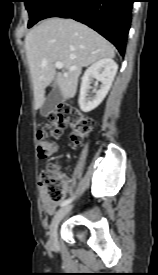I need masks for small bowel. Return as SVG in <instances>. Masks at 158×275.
Instances as JSON below:
<instances>
[{
    "label": "small bowel",
    "mask_w": 158,
    "mask_h": 275,
    "mask_svg": "<svg viewBox=\"0 0 158 275\" xmlns=\"http://www.w3.org/2000/svg\"><path fill=\"white\" fill-rule=\"evenodd\" d=\"M41 204L45 213L52 214L59 202H53L48 199L44 191H41Z\"/></svg>",
    "instance_id": "obj_1"
}]
</instances>
